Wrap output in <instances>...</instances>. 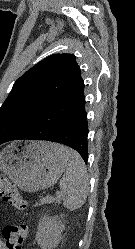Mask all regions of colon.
Instances as JSON below:
<instances>
[{
    "label": "colon",
    "mask_w": 135,
    "mask_h": 249,
    "mask_svg": "<svg viewBox=\"0 0 135 249\" xmlns=\"http://www.w3.org/2000/svg\"><path fill=\"white\" fill-rule=\"evenodd\" d=\"M0 198L12 205L17 210H24L27 207L26 201L6 177L0 176ZM30 233V227L26 224L7 225L3 228L2 238L6 249H23V242Z\"/></svg>",
    "instance_id": "obj_1"
}]
</instances>
